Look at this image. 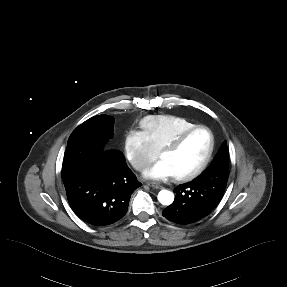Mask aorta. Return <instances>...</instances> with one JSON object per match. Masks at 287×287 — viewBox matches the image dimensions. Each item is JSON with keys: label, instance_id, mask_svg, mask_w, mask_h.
I'll list each match as a JSON object with an SVG mask.
<instances>
[{"label": "aorta", "instance_id": "1", "mask_svg": "<svg viewBox=\"0 0 287 287\" xmlns=\"http://www.w3.org/2000/svg\"><path fill=\"white\" fill-rule=\"evenodd\" d=\"M157 198H158V201L162 205L168 206V205L173 203V201H174V194H173V192H171L169 190H161L158 193Z\"/></svg>", "mask_w": 287, "mask_h": 287}]
</instances>
